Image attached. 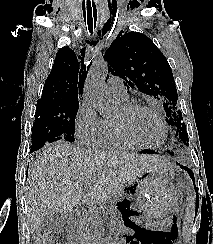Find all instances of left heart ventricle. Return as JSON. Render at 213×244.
Here are the masks:
<instances>
[{
	"label": "left heart ventricle",
	"mask_w": 213,
	"mask_h": 244,
	"mask_svg": "<svg viewBox=\"0 0 213 244\" xmlns=\"http://www.w3.org/2000/svg\"><path fill=\"white\" fill-rule=\"evenodd\" d=\"M113 122L122 125L133 138L144 144L156 145L164 135L158 120L144 110L129 112L122 107Z\"/></svg>",
	"instance_id": "left-heart-ventricle-1"
}]
</instances>
